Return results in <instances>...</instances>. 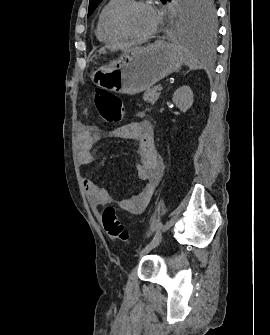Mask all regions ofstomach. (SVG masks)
Masks as SVG:
<instances>
[{"label":"stomach","mask_w":270,"mask_h":335,"mask_svg":"<svg viewBox=\"0 0 270 335\" xmlns=\"http://www.w3.org/2000/svg\"><path fill=\"white\" fill-rule=\"evenodd\" d=\"M184 60L185 54L177 44L157 40L124 52L112 66L99 68L91 78L103 90L133 96L150 90L156 82L180 70Z\"/></svg>","instance_id":"obj_1"}]
</instances>
